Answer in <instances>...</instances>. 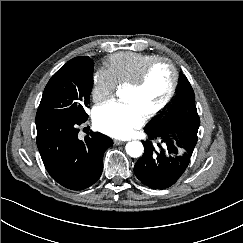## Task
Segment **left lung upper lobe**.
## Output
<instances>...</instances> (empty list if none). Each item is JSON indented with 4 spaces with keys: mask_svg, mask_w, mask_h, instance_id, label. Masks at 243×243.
Here are the masks:
<instances>
[{
    "mask_svg": "<svg viewBox=\"0 0 243 243\" xmlns=\"http://www.w3.org/2000/svg\"><path fill=\"white\" fill-rule=\"evenodd\" d=\"M177 120H179L178 123L187 126L194 125L198 128L200 125V119L195 106L194 91L188 79L182 73L180 75L177 98L173 106L163 118L155 121L147 128L152 130L165 129L171 122H176Z\"/></svg>",
    "mask_w": 243,
    "mask_h": 243,
    "instance_id": "1",
    "label": "left lung upper lobe"
}]
</instances>
